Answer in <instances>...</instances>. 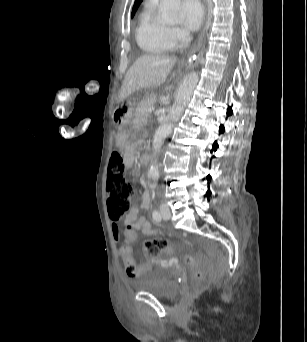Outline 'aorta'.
<instances>
[{"label":"aorta","instance_id":"762f6f07","mask_svg":"<svg viewBox=\"0 0 307 342\" xmlns=\"http://www.w3.org/2000/svg\"><path fill=\"white\" fill-rule=\"evenodd\" d=\"M181 0H160L159 10L161 12L159 16V22L162 24H169V26H176L179 24ZM199 80L196 72H191L188 76H185L176 96L173 106L169 110V114L166 116L165 122L159 126L153 140V150L155 160L152 162L148 176L151 178H158L159 168L157 166V154H159L164 138H167L168 134H171L174 124L178 122L181 114H183L184 108H186L188 102L191 100L193 90L197 86Z\"/></svg>","mask_w":307,"mask_h":342}]
</instances>
